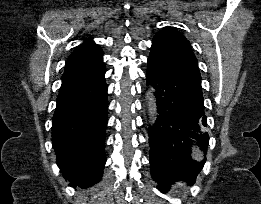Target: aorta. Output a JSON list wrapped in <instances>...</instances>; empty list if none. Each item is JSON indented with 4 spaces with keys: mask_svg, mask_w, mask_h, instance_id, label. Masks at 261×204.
<instances>
[{
    "mask_svg": "<svg viewBox=\"0 0 261 204\" xmlns=\"http://www.w3.org/2000/svg\"><path fill=\"white\" fill-rule=\"evenodd\" d=\"M147 103H148V114L150 121L154 123L157 119V105H156V98H155V90L152 85H149L147 93Z\"/></svg>",
    "mask_w": 261,
    "mask_h": 204,
    "instance_id": "762f6f07",
    "label": "aorta"
}]
</instances>
